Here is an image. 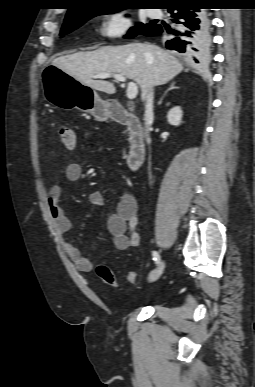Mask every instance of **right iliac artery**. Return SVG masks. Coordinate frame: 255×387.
<instances>
[{"mask_svg": "<svg viewBox=\"0 0 255 387\" xmlns=\"http://www.w3.org/2000/svg\"><path fill=\"white\" fill-rule=\"evenodd\" d=\"M152 255H153V260L156 262V264H158L160 262V256H159L158 252L153 251Z\"/></svg>", "mask_w": 255, "mask_h": 387, "instance_id": "82829eb1", "label": "right iliac artery"}]
</instances>
